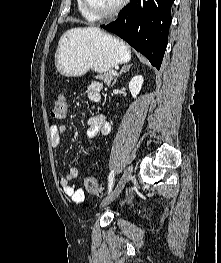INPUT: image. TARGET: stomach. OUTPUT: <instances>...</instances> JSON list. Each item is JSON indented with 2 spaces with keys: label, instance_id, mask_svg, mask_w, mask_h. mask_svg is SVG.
<instances>
[{
  "label": "stomach",
  "instance_id": "1",
  "mask_svg": "<svg viewBox=\"0 0 221 263\" xmlns=\"http://www.w3.org/2000/svg\"><path fill=\"white\" fill-rule=\"evenodd\" d=\"M130 60V50L116 37L101 30L72 29L60 39L55 54L57 71L66 77H79L93 70L111 71Z\"/></svg>",
  "mask_w": 221,
  "mask_h": 263
}]
</instances>
